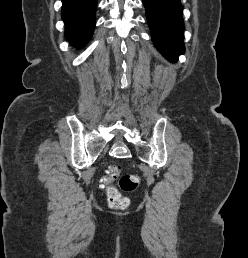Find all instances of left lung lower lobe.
<instances>
[{"mask_svg": "<svg viewBox=\"0 0 248 258\" xmlns=\"http://www.w3.org/2000/svg\"><path fill=\"white\" fill-rule=\"evenodd\" d=\"M156 48L170 61L184 53L180 0H142Z\"/></svg>", "mask_w": 248, "mask_h": 258, "instance_id": "left-lung-lower-lobe-1", "label": "left lung lower lobe"}]
</instances>
